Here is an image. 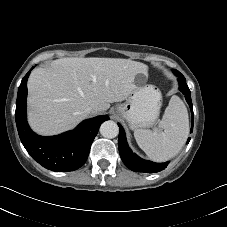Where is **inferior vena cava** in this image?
Instances as JSON below:
<instances>
[{
	"mask_svg": "<svg viewBox=\"0 0 227 227\" xmlns=\"http://www.w3.org/2000/svg\"><path fill=\"white\" fill-rule=\"evenodd\" d=\"M84 113L88 114H94L95 113V109L91 106H88L84 109Z\"/></svg>",
	"mask_w": 227,
	"mask_h": 227,
	"instance_id": "602c4592",
	"label": "inferior vena cava"
}]
</instances>
